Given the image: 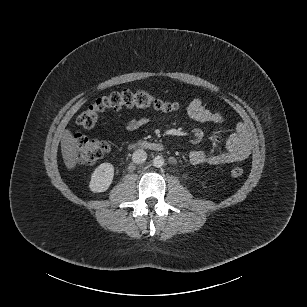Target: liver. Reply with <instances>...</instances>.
Masks as SVG:
<instances>
[{
    "instance_id": "liver-1",
    "label": "liver",
    "mask_w": 307,
    "mask_h": 307,
    "mask_svg": "<svg viewBox=\"0 0 307 307\" xmlns=\"http://www.w3.org/2000/svg\"><path fill=\"white\" fill-rule=\"evenodd\" d=\"M81 145L70 129H64L61 134V153L68 170H73L79 162Z\"/></svg>"
}]
</instances>
